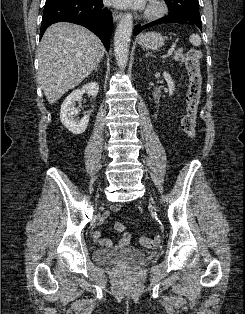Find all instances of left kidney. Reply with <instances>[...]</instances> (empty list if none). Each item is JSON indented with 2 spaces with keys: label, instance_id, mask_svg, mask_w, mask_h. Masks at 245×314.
Segmentation results:
<instances>
[{
  "label": "left kidney",
  "instance_id": "5707ae66",
  "mask_svg": "<svg viewBox=\"0 0 245 314\" xmlns=\"http://www.w3.org/2000/svg\"><path fill=\"white\" fill-rule=\"evenodd\" d=\"M163 77H164V79L166 80V82L168 84L169 93H170V95H172L174 90H175L174 81L172 80L170 74L167 73V72H164Z\"/></svg>",
  "mask_w": 245,
  "mask_h": 314
}]
</instances>
